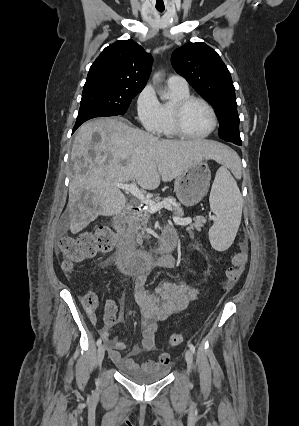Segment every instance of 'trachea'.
Listing matches in <instances>:
<instances>
[{
	"mask_svg": "<svg viewBox=\"0 0 299 426\" xmlns=\"http://www.w3.org/2000/svg\"><path fill=\"white\" fill-rule=\"evenodd\" d=\"M159 12H163L164 11V9H157Z\"/></svg>",
	"mask_w": 299,
	"mask_h": 426,
	"instance_id": "trachea-1",
	"label": "trachea"
}]
</instances>
